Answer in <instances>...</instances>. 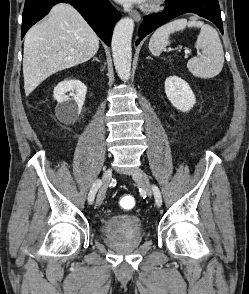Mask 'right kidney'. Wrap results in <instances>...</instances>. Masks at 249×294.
Returning a JSON list of instances; mask_svg holds the SVG:
<instances>
[{
    "mask_svg": "<svg viewBox=\"0 0 249 294\" xmlns=\"http://www.w3.org/2000/svg\"><path fill=\"white\" fill-rule=\"evenodd\" d=\"M75 91L73 97L68 92ZM87 87L77 79H66L54 88L53 96L58 102L56 114L62 122H75L81 113Z\"/></svg>",
    "mask_w": 249,
    "mask_h": 294,
    "instance_id": "1",
    "label": "right kidney"
}]
</instances>
